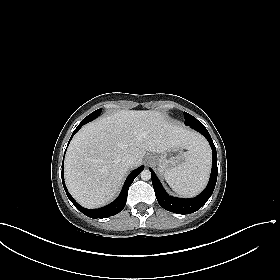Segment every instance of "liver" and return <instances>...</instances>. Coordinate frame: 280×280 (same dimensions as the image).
Masks as SVG:
<instances>
[{"label":"liver","instance_id":"6515ba94","mask_svg":"<svg viewBox=\"0 0 280 280\" xmlns=\"http://www.w3.org/2000/svg\"><path fill=\"white\" fill-rule=\"evenodd\" d=\"M202 146L207 145L200 135L160 112L121 110L86 124L74 136L64 163L66 185L82 206L97 208L116 196L129 168L138 167L147 151ZM127 154L135 157L130 167L122 160Z\"/></svg>","mask_w":280,"mask_h":280}]
</instances>
